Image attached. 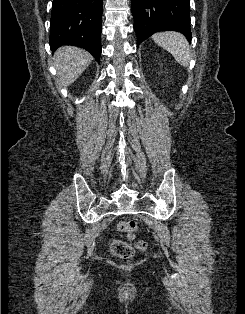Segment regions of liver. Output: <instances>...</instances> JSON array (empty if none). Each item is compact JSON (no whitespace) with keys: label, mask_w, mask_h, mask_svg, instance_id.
I'll return each mask as SVG.
<instances>
[{"label":"liver","mask_w":245,"mask_h":314,"mask_svg":"<svg viewBox=\"0 0 245 314\" xmlns=\"http://www.w3.org/2000/svg\"><path fill=\"white\" fill-rule=\"evenodd\" d=\"M93 57L85 50L74 46H63L54 53L57 82L61 87L74 83L90 65Z\"/></svg>","instance_id":"obj_1"}]
</instances>
